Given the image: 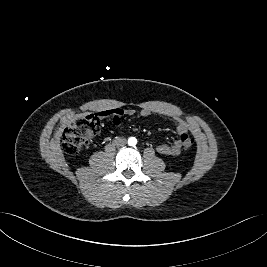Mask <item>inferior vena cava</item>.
<instances>
[{"label": "inferior vena cava", "instance_id": "obj_1", "mask_svg": "<svg viewBox=\"0 0 267 267\" xmlns=\"http://www.w3.org/2000/svg\"><path fill=\"white\" fill-rule=\"evenodd\" d=\"M115 145L118 146V147H122L126 144V139L125 138H122V137H118L115 139L114 141Z\"/></svg>", "mask_w": 267, "mask_h": 267}]
</instances>
